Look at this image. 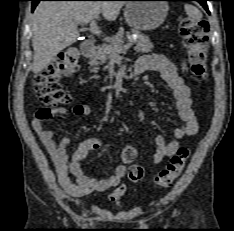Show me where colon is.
Returning a JSON list of instances; mask_svg holds the SVG:
<instances>
[{
    "label": "colon",
    "mask_w": 234,
    "mask_h": 231,
    "mask_svg": "<svg viewBox=\"0 0 234 231\" xmlns=\"http://www.w3.org/2000/svg\"><path fill=\"white\" fill-rule=\"evenodd\" d=\"M179 32L187 51L190 72L196 80H201L206 75L208 23L205 20L197 21L183 17L179 21ZM79 58V50L76 47H68L35 77L34 89L43 103L53 106L70 103L71 97L62 88L59 79L76 73ZM189 154L188 148H179L171 157L169 164L155 175V184L160 187L172 184L183 172ZM137 156L138 152L133 146L125 147L121 153V158L126 163L134 162ZM128 177L131 182H140L145 177V170L141 165H132L129 168Z\"/></svg>",
    "instance_id": "5ec220e1"
}]
</instances>
